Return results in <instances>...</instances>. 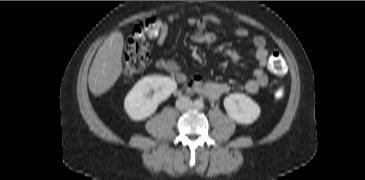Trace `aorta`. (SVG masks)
I'll return each instance as SVG.
<instances>
[{
    "label": "aorta",
    "mask_w": 365,
    "mask_h": 180,
    "mask_svg": "<svg viewBox=\"0 0 365 180\" xmlns=\"http://www.w3.org/2000/svg\"><path fill=\"white\" fill-rule=\"evenodd\" d=\"M194 106H195L196 108H198V109H201V108H203L204 104H203V102H202V101H200V100H196V101L194 102Z\"/></svg>",
    "instance_id": "1"
}]
</instances>
